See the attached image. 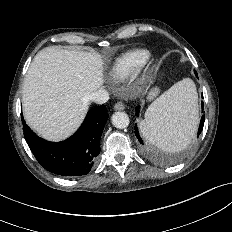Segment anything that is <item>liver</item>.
Masks as SVG:
<instances>
[{"label": "liver", "mask_w": 232, "mask_h": 232, "mask_svg": "<svg viewBox=\"0 0 232 232\" xmlns=\"http://www.w3.org/2000/svg\"><path fill=\"white\" fill-rule=\"evenodd\" d=\"M103 60L95 51L42 49L33 59L23 86L28 125L40 136L59 141L82 123L88 96L103 83Z\"/></svg>", "instance_id": "6515ba94"}]
</instances>
